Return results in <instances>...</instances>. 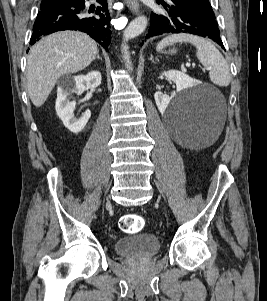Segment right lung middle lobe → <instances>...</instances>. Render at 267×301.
Returning a JSON list of instances; mask_svg holds the SVG:
<instances>
[{"label": "right lung middle lobe", "mask_w": 267, "mask_h": 301, "mask_svg": "<svg viewBox=\"0 0 267 301\" xmlns=\"http://www.w3.org/2000/svg\"><path fill=\"white\" fill-rule=\"evenodd\" d=\"M51 5H53L50 1H42L41 2V6H40V9H42V8H46V7H48V6H51Z\"/></svg>", "instance_id": "1"}]
</instances>
